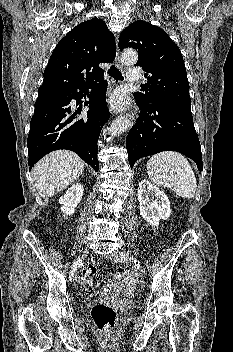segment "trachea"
Wrapping results in <instances>:
<instances>
[{
	"mask_svg": "<svg viewBox=\"0 0 233 352\" xmlns=\"http://www.w3.org/2000/svg\"><path fill=\"white\" fill-rule=\"evenodd\" d=\"M108 73L116 80H123L124 79L121 72L116 67H111L108 70Z\"/></svg>",
	"mask_w": 233,
	"mask_h": 352,
	"instance_id": "obj_1",
	"label": "trachea"
}]
</instances>
